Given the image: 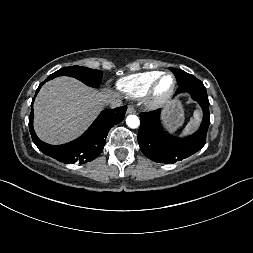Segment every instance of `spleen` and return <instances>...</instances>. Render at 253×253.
<instances>
[{"label":"spleen","mask_w":253,"mask_h":253,"mask_svg":"<svg viewBox=\"0 0 253 253\" xmlns=\"http://www.w3.org/2000/svg\"><path fill=\"white\" fill-rule=\"evenodd\" d=\"M199 122H200V113L198 111H196V112H194V118L191 119L189 124L184 129L183 135H187L190 132H192L198 126Z\"/></svg>","instance_id":"spleen-1"}]
</instances>
